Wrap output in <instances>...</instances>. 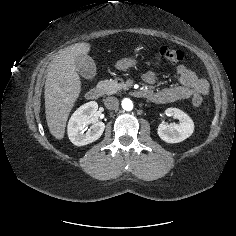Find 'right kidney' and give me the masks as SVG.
Wrapping results in <instances>:
<instances>
[{
    "instance_id": "obj_1",
    "label": "right kidney",
    "mask_w": 236,
    "mask_h": 236,
    "mask_svg": "<svg viewBox=\"0 0 236 236\" xmlns=\"http://www.w3.org/2000/svg\"><path fill=\"white\" fill-rule=\"evenodd\" d=\"M98 110V104L90 101L80 106L71 116L67 131L70 141L76 146H84L98 140L103 134L105 124L97 121L95 113ZM92 124L85 133L83 128Z\"/></svg>"
}]
</instances>
